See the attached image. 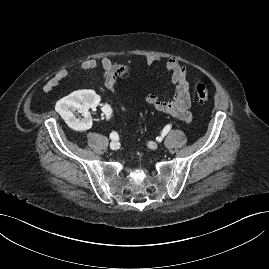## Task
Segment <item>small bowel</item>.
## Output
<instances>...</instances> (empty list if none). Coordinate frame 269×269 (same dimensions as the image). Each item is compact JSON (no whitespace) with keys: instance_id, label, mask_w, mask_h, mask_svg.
<instances>
[{"instance_id":"obj_1","label":"small bowel","mask_w":269,"mask_h":269,"mask_svg":"<svg viewBox=\"0 0 269 269\" xmlns=\"http://www.w3.org/2000/svg\"><path fill=\"white\" fill-rule=\"evenodd\" d=\"M162 61L160 56L145 55L139 62L134 64H117L108 57L99 60L86 59L80 64L83 70H102L104 86L115 91L118 73L122 70L132 71L140 66H153ZM165 70L169 78V87L172 90L171 97L163 99L160 96L148 93L144 96V102L153 109L168 114L181 122L189 123L192 120L190 82L187 79V67L178 59L170 58L165 62ZM69 69H62L51 77L43 86L44 93L51 92L59 83L66 78ZM124 112L130 113L134 106L130 104H121Z\"/></svg>"}]
</instances>
